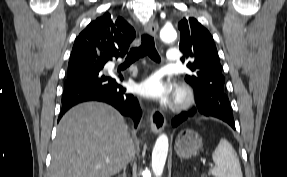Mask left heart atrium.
Wrapping results in <instances>:
<instances>
[{
	"label": "left heart atrium",
	"instance_id": "left-heart-atrium-1",
	"mask_svg": "<svg viewBox=\"0 0 287 177\" xmlns=\"http://www.w3.org/2000/svg\"><path fill=\"white\" fill-rule=\"evenodd\" d=\"M138 92L144 97L166 99L172 92V84L163 80L159 73H154L140 82Z\"/></svg>",
	"mask_w": 287,
	"mask_h": 177
}]
</instances>
